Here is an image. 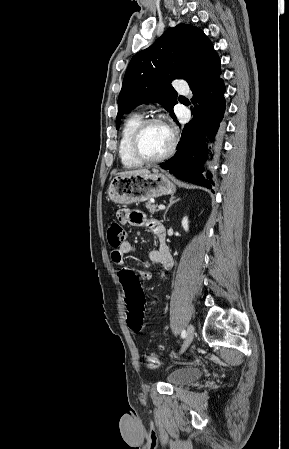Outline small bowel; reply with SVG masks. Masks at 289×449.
Masks as SVG:
<instances>
[{
    "mask_svg": "<svg viewBox=\"0 0 289 449\" xmlns=\"http://www.w3.org/2000/svg\"><path fill=\"white\" fill-rule=\"evenodd\" d=\"M118 218L122 223H127L132 226H148L156 235L158 246L156 249L144 252V254L152 263L160 265L165 270H170L173 267V259L166 245L165 229L160 222L147 219L146 216L139 210L130 209H121L118 212ZM135 252H137V247L126 241L120 247L115 248L111 252V260L113 263L121 266L122 268H128L125 266V256ZM137 274L146 280H150L152 277L151 273L148 271H137ZM177 342L180 344L182 341L179 339ZM182 351L185 353L187 350L184 348ZM170 355L172 357H176L178 354L176 352H172ZM184 358L187 360L189 357L186 355ZM187 365L190 367L192 364L189 362Z\"/></svg>",
    "mask_w": 289,
    "mask_h": 449,
    "instance_id": "c3829d8e",
    "label": "small bowel"
}]
</instances>
